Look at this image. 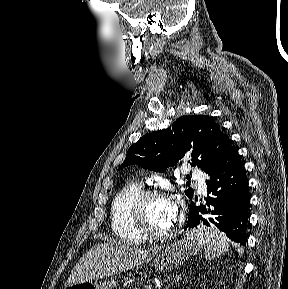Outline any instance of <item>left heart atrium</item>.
I'll list each match as a JSON object with an SVG mask.
<instances>
[{
	"label": "left heart atrium",
	"instance_id": "left-heart-atrium-1",
	"mask_svg": "<svg viewBox=\"0 0 288 289\" xmlns=\"http://www.w3.org/2000/svg\"><path fill=\"white\" fill-rule=\"evenodd\" d=\"M170 217L174 221L177 216L178 208L173 202H169Z\"/></svg>",
	"mask_w": 288,
	"mask_h": 289
}]
</instances>
